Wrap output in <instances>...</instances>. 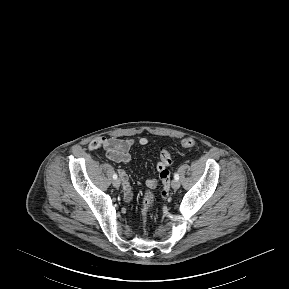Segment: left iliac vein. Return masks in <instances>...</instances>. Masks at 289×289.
Returning <instances> with one entry per match:
<instances>
[{"instance_id":"obj_1","label":"left iliac vein","mask_w":289,"mask_h":289,"mask_svg":"<svg viewBox=\"0 0 289 289\" xmlns=\"http://www.w3.org/2000/svg\"><path fill=\"white\" fill-rule=\"evenodd\" d=\"M171 187L174 189V190H177L179 187H180V182L178 180H173L171 182Z\"/></svg>"}]
</instances>
